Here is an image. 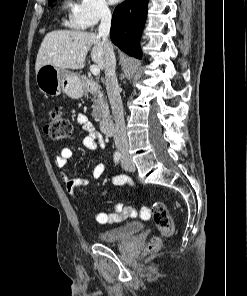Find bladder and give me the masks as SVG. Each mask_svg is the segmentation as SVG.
<instances>
[{
    "label": "bladder",
    "instance_id": "obj_1",
    "mask_svg": "<svg viewBox=\"0 0 247 296\" xmlns=\"http://www.w3.org/2000/svg\"><path fill=\"white\" fill-rule=\"evenodd\" d=\"M142 228L141 222H131L114 229L101 231L98 233V238L103 243L123 242L138 234Z\"/></svg>",
    "mask_w": 247,
    "mask_h": 296
}]
</instances>
